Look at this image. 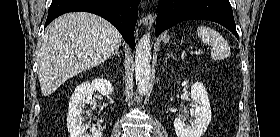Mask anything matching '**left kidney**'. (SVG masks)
<instances>
[{
    "label": "left kidney",
    "instance_id": "5707ae66",
    "mask_svg": "<svg viewBox=\"0 0 280 137\" xmlns=\"http://www.w3.org/2000/svg\"><path fill=\"white\" fill-rule=\"evenodd\" d=\"M188 81L182 82L186 86ZM191 100L194 103L196 119L191 125L185 124V118L177 117L174 127L177 137H202L211 122V107L207 91L200 82L191 86Z\"/></svg>",
    "mask_w": 280,
    "mask_h": 137
}]
</instances>
